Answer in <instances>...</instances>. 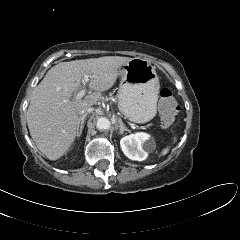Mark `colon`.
<instances>
[{"label":"colon","instance_id":"colon-1","mask_svg":"<svg viewBox=\"0 0 240 240\" xmlns=\"http://www.w3.org/2000/svg\"><path fill=\"white\" fill-rule=\"evenodd\" d=\"M159 110L161 113L163 126H170L175 120L178 112V105L173 97L172 92L168 88H164L160 92Z\"/></svg>","mask_w":240,"mask_h":240}]
</instances>
